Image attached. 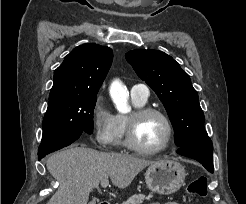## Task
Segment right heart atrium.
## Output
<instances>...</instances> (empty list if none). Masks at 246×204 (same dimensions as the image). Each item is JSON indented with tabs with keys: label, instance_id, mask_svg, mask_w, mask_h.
Instances as JSON below:
<instances>
[{
	"label": "right heart atrium",
	"instance_id": "obj_1",
	"mask_svg": "<svg viewBox=\"0 0 246 204\" xmlns=\"http://www.w3.org/2000/svg\"><path fill=\"white\" fill-rule=\"evenodd\" d=\"M92 138L99 147H106L112 142L115 115L109 109L105 98L97 95L91 112Z\"/></svg>",
	"mask_w": 246,
	"mask_h": 204
}]
</instances>
